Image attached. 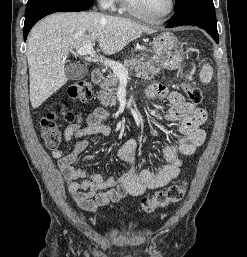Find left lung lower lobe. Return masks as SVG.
<instances>
[{"label": "left lung lower lobe", "mask_w": 247, "mask_h": 257, "mask_svg": "<svg viewBox=\"0 0 247 257\" xmlns=\"http://www.w3.org/2000/svg\"><path fill=\"white\" fill-rule=\"evenodd\" d=\"M181 25L198 26L206 30L216 43L219 42L213 1H197L175 10L171 22L165 27Z\"/></svg>", "instance_id": "1"}]
</instances>
